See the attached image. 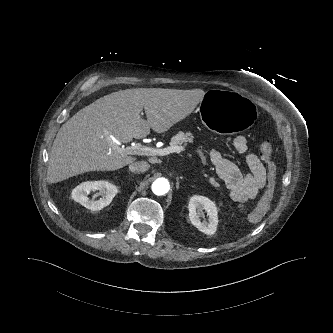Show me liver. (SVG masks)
Returning a JSON list of instances; mask_svg holds the SVG:
<instances>
[{"label":"liver","instance_id":"6515ba94","mask_svg":"<svg viewBox=\"0 0 333 333\" xmlns=\"http://www.w3.org/2000/svg\"><path fill=\"white\" fill-rule=\"evenodd\" d=\"M202 89L135 88L113 92L84 107L58 131L47 179L57 183L90 171H114L136 160L114 149L117 142L164 133L203 99ZM145 111L147 120L141 118Z\"/></svg>","mask_w":333,"mask_h":333}]
</instances>
